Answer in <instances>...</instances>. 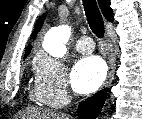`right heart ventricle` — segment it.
<instances>
[{
    "mask_svg": "<svg viewBox=\"0 0 142 119\" xmlns=\"http://www.w3.org/2000/svg\"><path fill=\"white\" fill-rule=\"evenodd\" d=\"M31 95L38 101H42L41 100V96H40V93H39V90L37 88V85L34 87V89L31 91Z\"/></svg>",
    "mask_w": 142,
    "mask_h": 119,
    "instance_id": "e07e8e85",
    "label": "right heart ventricle"
}]
</instances>
